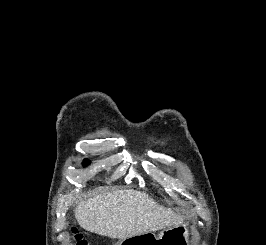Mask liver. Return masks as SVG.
<instances>
[{
    "mask_svg": "<svg viewBox=\"0 0 266 245\" xmlns=\"http://www.w3.org/2000/svg\"><path fill=\"white\" fill-rule=\"evenodd\" d=\"M75 219L82 229L110 239H128L182 225V217L160 207L146 193L134 189L104 191L77 205Z\"/></svg>",
    "mask_w": 266,
    "mask_h": 245,
    "instance_id": "6515ba94",
    "label": "liver"
}]
</instances>
